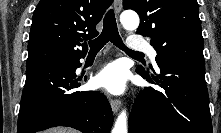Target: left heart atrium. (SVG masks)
<instances>
[{"mask_svg":"<svg viewBox=\"0 0 221 133\" xmlns=\"http://www.w3.org/2000/svg\"><path fill=\"white\" fill-rule=\"evenodd\" d=\"M95 84L111 94H121L127 86V71L119 62L110 63L97 74Z\"/></svg>","mask_w":221,"mask_h":133,"instance_id":"left-heart-atrium-1","label":"left heart atrium"}]
</instances>
